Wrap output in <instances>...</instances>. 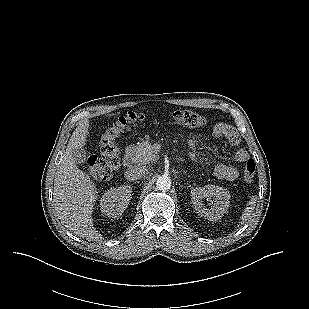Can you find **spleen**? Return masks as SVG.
<instances>
[{"label":"spleen","instance_id":"obj_1","mask_svg":"<svg viewBox=\"0 0 309 309\" xmlns=\"http://www.w3.org/2000/svg\"><path fill=\"white\" fill-rule=\"evenodd\" d=\"M256 199L257 197L254 195L251 197L250 201L247 203V206L244 209L243 214L241 216V220H242L241 223H243L244 221H247L248 218L251 217V214L253 213V210L255 208Z\"/></svg>","mask_w":309,"mask_h":309}]
</instances>
